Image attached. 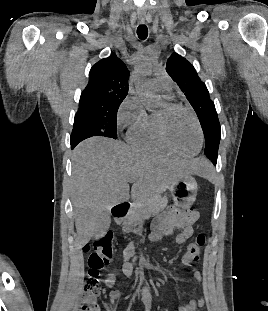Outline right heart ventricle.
Returning <instances> with one entry per match:
<instances>
[{
    "label": "right heart ventricle",
    "instance_id": "1",
    "mask_svg": "<svg viewBox=\"0 0 268 311\" xmlns=\"http://www.w3.org/2000/svg\"><path fill=\"white\" fill-rule=\"evenodd\" d=\"M127 140L132 146L143 151L172 153L159 135L156 112L146 113L136 122L130 128Z\"/></svg>",
    "mask_w": 268,
    "mask_h": 311
}]
</instances>
